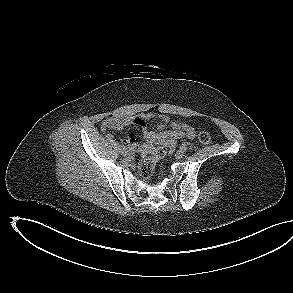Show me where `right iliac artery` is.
I'll list each match as a JSON object with an SVG mask.
<instances>
[{"mask_svg": "<svg viewBox=\"0 0 293 293\" xmlns=\"http://www.w3.org/2000/svg\"><path fill=\"white\" fill-rule=\"evenodd\" d=\"M116 145H117L118 148H122L123 147V145L122 144H119V143H116Z\"/></svg>", "mask_w": 293, "mask_h": 293, "instance_id": "1", "label": "right iliac artery"}]
</instances>
